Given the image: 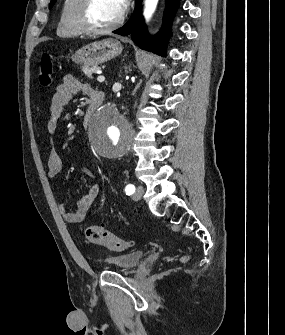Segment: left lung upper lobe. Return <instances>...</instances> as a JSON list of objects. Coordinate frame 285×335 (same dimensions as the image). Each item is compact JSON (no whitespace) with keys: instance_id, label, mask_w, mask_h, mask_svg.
<instances>
[{"instance_id":"5c2ea615","label":"left lung upper lobe","mask_w":285,"mask_h":335,"mask_svg":"<svg viewBox=\"0 0 285 335\" xmlns=\"http://www.w3.org/2000/svg\"><path fill=\"white\" fill-rule=\"evenodd\" d=\"M56 1H57V0H51L50 5H49V8H51V7L55 4Z\"/></svg>"}]
</instances>
